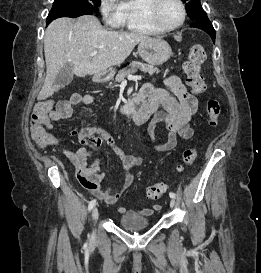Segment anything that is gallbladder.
I'll return each instance as SVG.
<instances>
[{
	"instance_id": "1",
	"label": "gallbladder",
	"mask_w": 261,
	"mask_h": 273,
	"mask_svg": "<svg viewBox=\"0 0 261 273\" xmlns=\"http://www.w3.org/2000/svg\"><path fill=\"white\" fill-rule=\"evenodd\" d=\"M73 76V65L71 63H67L57 73L54 84L59 87H64L72 81Z\"/></svg>"
}]
</instances>
